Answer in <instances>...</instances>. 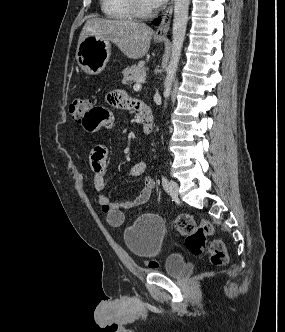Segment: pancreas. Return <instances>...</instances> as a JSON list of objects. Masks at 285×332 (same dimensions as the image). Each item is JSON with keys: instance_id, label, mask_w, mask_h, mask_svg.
Listing matches in <instances>:
<instances>
[{"instance_id": "pancreas-1", "label": "pancreas", "mask_w": 285, "mask_h": 332, "mask_svg": "<svg viewBox=\"0 0 285 332\" xmlns=\"http://www.w3.org/2000/svg\"><path fill=\"white\" fill-rule=\"evenodd\" d=\"M123 84L131 85L133 82H140V80L146 74V68L144 62H140L137 65H132L123 70Z\"/></svg>"}]
</instances>
